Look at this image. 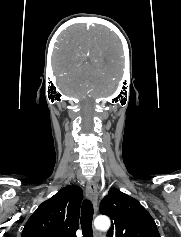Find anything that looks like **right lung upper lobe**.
<instances>
[{
  "label": "right lung upper lobe",
  "mask_w": 181,
  "mask_h": 237,
  "mask_svg": "<svg viewBox=\"0 0 181 237\" xmlns=\"http://www.w3.org/2000/svg\"><path fill=\"white\" fill-rule=\"evenodd\" d=\"M82 189L66 186L41 203L26 222L21 237H76Z\"/></svg>",
  "instance_id": "cb5924a9"
}]
</instances>
